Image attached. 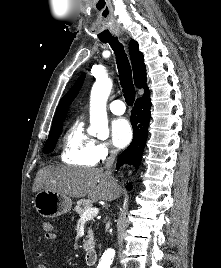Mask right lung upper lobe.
I'll list each match as a JSON object with an SVG mask.
<instances>
[{"mask_svg": "<svg viewBox=\"0 0 221 268\" xmlns=\"http://www.w3.org/2000/svg\"><path fill=\"white\" fill-rule=\"evenodd\" d=\"M129 53L131 58V64L133 68V76L135 86L138 88H144V94L141 96L149 95V89L146 85V66L143 61V54L139 51V45L136 41L131 40L129 43ZM85 79V74H82L70 91L60 100L52 127L58 126L63 123V120L69 109V105L74 100V98L79 93V90L82 87V84Z\"/></svg>", "mask_w": 221, "mask_h": 268, "instance_id": "right-lung-upper-lobe-1", "label": "right lung upper lobe"}]
</instances>
